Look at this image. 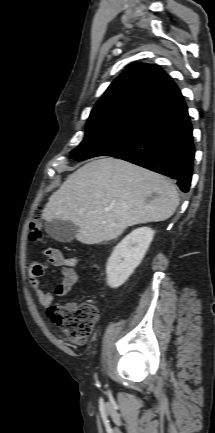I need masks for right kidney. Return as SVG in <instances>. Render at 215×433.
Listing matches in <instances>:
<instances>
[{"instance_id": "ca27d5eb", "label": "right kidney", "mask_w": 215, "mask_h": 433, "mask_svg": "<svg viewBox=\"0 0 215 433\" xmlns=\"http://www.w3.org/2000/svg\"><path fill=\"white\" fill-rule=\"evenodd\" d=\"M154 230L141 227L133 230L113 250L106 265L107 283L112 288L121 286L141 263Z\"/></svg>"}]
</instances>
